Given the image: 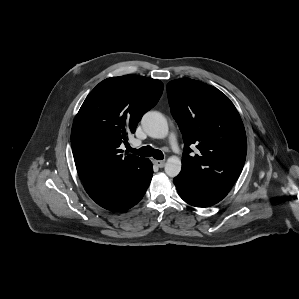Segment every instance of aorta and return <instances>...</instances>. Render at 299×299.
Returning a JSON list of instances; mask_svg holds the SVG:
<instances>
[{"instance_id":"obj_1","label":"aorta","mask_w":299,"mask_h":299,"mask_svg":"<svg viewBox=\"0 0 299 299\" xmlns=\"http://www.w3.org/2000/svg\"><path fill=\"white\" fill-rule=\"evenodd\" d=\"M144 131L152 138L163 139L168 134L166 118L157 111L145 113L141 120ZM181 171V160L177 156H171L165 164V173L169 177H176Z\"/></svg>"}]
</instances>
